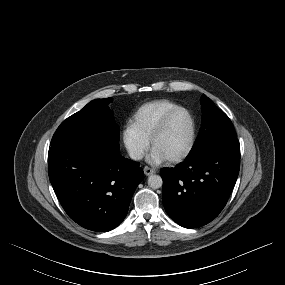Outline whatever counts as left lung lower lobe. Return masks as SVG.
Returning <instances> with one entry per match:
<instances>
[{"label":"left lung lower lobe","instance_id":"0a47b994","mask_svg":"<svg viewBox=\"0 0 285 285\" xmlns=\"http://www.w3.org/2000/svg\"><path fill=\"white\" fill-rule=\"evenodd\" d=\"M239 168L240 149H225L163 169L162 200L169 217L185 228L211 222L226 205Z\"/></svg>","mask_w":285,"mask_h":285}]
</instances>
